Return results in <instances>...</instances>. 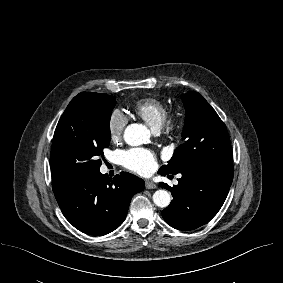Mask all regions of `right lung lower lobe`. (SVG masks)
<instances>
[{
    "label": "right lung lower lobe",
    "mask_w": 283,
    "mask_h": 283,
    "mask_svg": "<svg viewBox=\"0 0 283 283\" xmlns=\"http://www.w3.org/2000/svg\"><path fill=\"white\" fill-rule=\"evenodd\" d=\"M144 188V181L128 172L113 179L100 171L53 190L66 219L89 235H105L124 221L131 198Z\"/></svg>",
    "instance_id": "right-lung-lower-lobe-1"
}]
</instances>
